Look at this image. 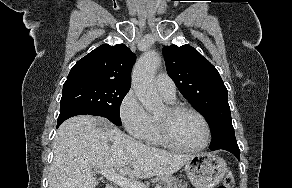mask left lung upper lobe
<instances>
[{
    "instance_id": "left-lung-upper-lobe-1",
    "label": "left lung upper lobe",
    "mask_w": 292,
    "mask_h": 188,
    "mask_svg": "<svg viewBox=\"0 0 292 188\" xmlns=\"http://www.w3.org/2000/svg\"><path fill=\"white\" fill-rule=\"evenodd\" d=\"M168 75L182 95L205 117L211 150L235 144L227 89L217 69L190 45L163 48Z\"/></svg>"
}]
</instances>
